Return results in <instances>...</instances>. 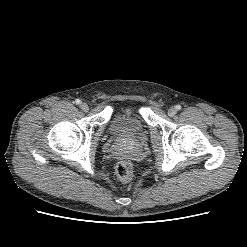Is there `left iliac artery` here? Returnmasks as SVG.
Here are the masks:
<instances>
[{
	"label": "left iliac artery",
	"mask_w": 247,
	"mask_h": 247,
	"mask_svg": "<svg viewBox=\"0 0 247 247\" xmlns=\"http://www.w3.org/2000/svg\"><path fill=\"white\" fill-rule=\"evenodd\" d=\"M176 108H177V110H180L181 109V106L180 105H177Z\"/></svg>",
	"instance_id": "obj_1"
}]
</instances>
